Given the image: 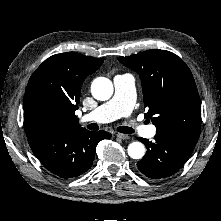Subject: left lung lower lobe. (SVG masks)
Masks as SVG:
<instances>
[{
    "label": "left lung lower lobe",
    "instance_id": "0a47b994",
    "mask_svg": "<svg viewBox=\"0 0 221 221\" xmlns=\"http://www.w3.org/2000/svg\"><path fill=\"white\" fill-rule=\"evenodd\" d=\"M137 139L147 147L137 167L152 179L166 178L176 173L187 161L198 140L176 132L157 133L153 142Z\"/></svg>",
    "mask_w": 221,
    "mask_h": 221
}]
</instances>
